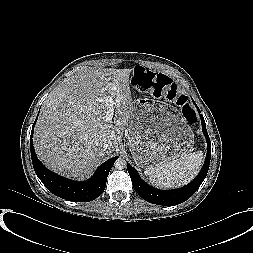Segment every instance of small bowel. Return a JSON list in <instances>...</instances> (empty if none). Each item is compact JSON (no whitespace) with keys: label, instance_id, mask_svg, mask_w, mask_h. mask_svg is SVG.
I'll return each mask as SVG.
<instances>
[{"label":"small bowel","instance_id":"small-bowel-1","mask_svg":"<svg viewBox=\"0 0 253 253\" xmlns=\"http://www.w3.org/2000/svg\"><path fill=\"white\" fill-rule=\"evenodd\" d=\"M135 85L137 86V88L142 90L151 91L153 89V85L149 81L143 79H137Z\"/></svg>","mask_w":253,"mask_h":253}]
</instances>
